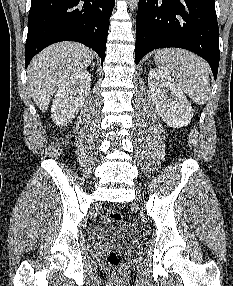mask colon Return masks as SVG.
<instances>
[{"mask_svg": "<svg viewBox=\"0 0 233 286\" xmlns=\"http://www.w3.org/2000/svg\"><path fill=\"white\" fill-rule=\"evenodd\" d=\"M121 218L120 212L114 209H106L100 214V220L102 222H117L121 220ZM107 261L112 268L118 269L123 262V258L119 252L111 251L107 256Z\"/></svg>", "mask_w": 233, "mask_h": 286, "instance_id": "5ec220e1", "label": "colon"}]
</instances>
